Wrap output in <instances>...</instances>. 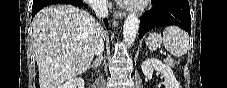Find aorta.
I'll list each match as a JSON object with an SVG mask.
<instances>
[{"label":"aorta","instance_id":"762f6f07","mask_svg":"<svg viewBox=\"0 0 227 88\" xmlns=\"http://www.w3.org/2000/svg\"><path fill=\"white\" fill-rule=\"evenodd\" d=\"M139 19L135 13L127 16L123 26V40L127 45H131L138 33Z\"/></svg>","mask_w":227,"mask_h":88}]
</instances>
